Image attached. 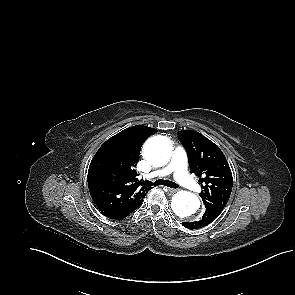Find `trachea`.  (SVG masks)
Masks as SVG:
<instances>
[{"label": "trachea", "mask_w": 295, "mask_h": 295, "mask_svg": "<svg viewBox=\"0 0 295 295\" xmlns=\"http://www.w3.org/2000/svg\"><path fill=\"white\" fill-rule=\"evenodd\" d=\"M149 184V183H148ZM154 186L164 185L170 188H178V185L175 182L169 180L158 179L153 183Z\"/></svg>", "instance_id": "1"}]
</instances>
